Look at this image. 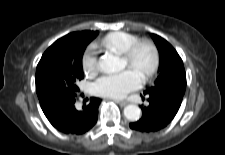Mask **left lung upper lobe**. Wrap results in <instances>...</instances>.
<instances>
[{
  "label": "left lung upper lobe",
  "instance_id": "left-lung-upper-lobe-1",
  "mask_svg": "<svg viewBox=\"0 0 225 155\" xmlns=\"http://www.w3.org/2000/svg\"><path fill=\"white\" fill-rule=\"evenodd\" d=\"M160 53L159 74L154 85L144 95H184L186 73L183 61L173 46L162 37L151 35Z\"/></svg>",
  "mask_w": 225,
  "mask_h": 155
}]
</instances>
